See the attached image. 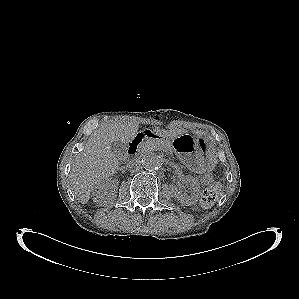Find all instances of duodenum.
I'll list each match as a JSON object with an SVG mask.
<instances>
[{"label": "duodenum", "instance_id": "1", "mask_svg": "<svg viewBox=\"0 0 299 299\" xmlns=\"http://www.w3.org/2000/svg\"><path fill=\"white\" fill-rule=\"evenodd\" d=\"M154 136V133L150 130H144L139 132L128 144V153L130 155L135 154L138 150L139 145L144 139Z\"/></svg>", "mask_w": 299, "mask_h": 299}]
</instances>
